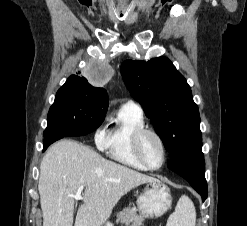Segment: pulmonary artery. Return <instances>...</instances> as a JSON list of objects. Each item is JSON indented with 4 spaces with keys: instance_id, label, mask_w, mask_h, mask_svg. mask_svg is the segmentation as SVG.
<instances>
[{
    "instance_id": "obj_1",
    "label": "pulmonary artery",
    "mask_w": 247,
    "mask_h": 226,
    "mask_svg": "<svg viewBox=\"0 0 247 226\" xmlns=\"http://www.w3.org/2000/svg\"><path fill=\"white\" fill-rule=\"evenodd\" d=\"M125 105H129V106H132V107H135V108H137V109L141 110L140 105H139V104H137V103H136V102H134V101H128Z\"/></svg>"
}]
</instances>
